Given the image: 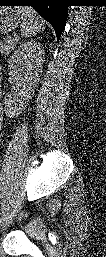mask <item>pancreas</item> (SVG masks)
Instances as JSON below:
<instances>
[{"label":"pancreas","mask_w":106,"mask_h":257,"mask_svg":"<svg viewBox=\"0 0 106 257\" xmlns=\"http://www.w3.org/2000/svg\"><path fill=\"white\" fill-rule=\"evenodd\" d=\"M19 41L18 36H7L3 39V41L0 42V53L1 55H9L17 45V42Z\"/></svg>","instance_id":"1"}]
</instances>
